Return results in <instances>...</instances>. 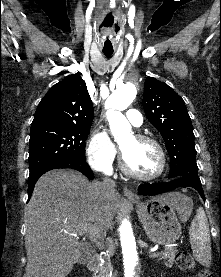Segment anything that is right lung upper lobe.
Here are the masks:
<instances>
[{
	"label": "right lung upper lobe",
	"mask_w": 221,
	"mask_h": 277,
	"mask_svg": "<svg viewBox=\"0 0 221 277\" xmlns=\"http://www.w3.org/2000/svg\"><path fill=\"white\" fill-rule=\"evenodd\" d=\"M94 108L85 82L73 74L50 88L38 105L31 127L40 125L91 126Z\"/></svg>",
	"instance_id": "cb5924a9"
}]
</instances>
